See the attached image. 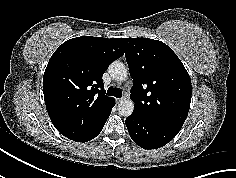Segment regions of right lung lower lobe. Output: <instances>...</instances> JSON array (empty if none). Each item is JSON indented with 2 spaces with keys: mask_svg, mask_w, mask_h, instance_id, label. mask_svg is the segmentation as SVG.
Segmentation results:
<instances>
[{
  "mask_svg": "<svg viewBox=\"0 0 236 178\" xmlns=\"http://www.w3.org/2000/svg\"><path fill=\"white\" fill-rule=\"evenodd\" d=\"M104 124H105V123H104ZM104 124H103V125L100 127V129L97 130L94 134H92L91 136H89V137H87V138L81 139V140H79V141H77V142H87V141H89V140L95 138V137L98 136L99 133L101 132V130H102Z\"/></svg>",
  "mask_w": 236,
  "mask_h": 178,
  "instance_id": "1",
  "label": "right lung lower lobe"
}]
</instances>
